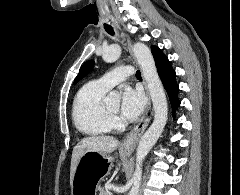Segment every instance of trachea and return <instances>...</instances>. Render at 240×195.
Segmentation results:
<instances>
[{"label":"trachea","mask_w":240,"mask_h":195,"mask_svg":"<svg viewBox=\"0 0 240 195\" xmlns=\"http://www.w3.org/2000/svg\"><path fill=\"white\" fill-rule=\"evenodd\" d=\"M104 28H105L106 32L109 33V35H114L115 34L113 28L110 27V25H105ZM136 77L139 78V79H142L141 73H140L139 70H137V72H136Z\"/></svg>","instance_id":"1"}]
</instances>
